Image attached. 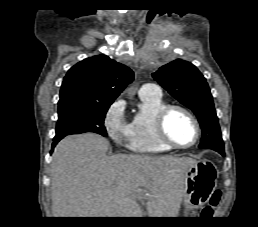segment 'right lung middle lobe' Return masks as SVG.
Masks as SVG:
<instances>
[{"mask_svg": "<svg viewBox=\"0 0 258 227\" xmlns=\"http://www.w3.org/2000/svg\"><path fill=\"white\" fill-rule=\"evenodd\" d=\"M56 136L85 132L107 136L104 127L106 112L111 104L86 101L79 98H63L58 102Z\"/></svg>", "mask_w": 258, "mask_h": 227, "instance_id": "1", "label": "right lung middle lobe"}]
</instances>
